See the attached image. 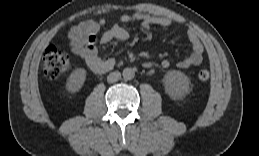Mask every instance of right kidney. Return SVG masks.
Listing matches in <instances>:
<instances>
[{"label":"right kidney","instance_id":"obj_1","mask_svg":"<svg viewBox=\"0 0 259 156\" xmlns=\"http://www.w3.org/2000/svg\"><path fill=\"white\" fill-rule=\"evenodd\" d=\"M86 79V70L83 68L75 69L69 76L66 82V88L69 92H78Z\"/></svg>","mask_w":259,"mask_h":156}]
</instances>
